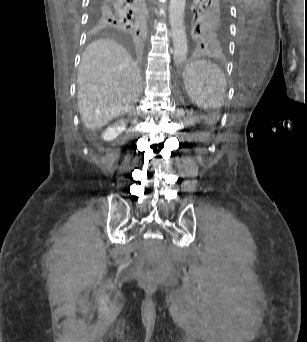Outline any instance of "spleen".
<instances>
[{
  "mask_svg": "<svg viewBox=\"0 0 307 342\" xmlns=\"http://www.w3.org/2000/svg\"><path fill=\"white\" fill-rule=\"evenodd\" d=\"M184 66L183 84L189 90V99L204 108L207 114H219L226 94V78L210 58H191Z\"/></svg>",
  "mask_w": 307,
  "mask_h": 342,
  "instance_id": "1",
  "label": "spleen"
}]
</instances>
